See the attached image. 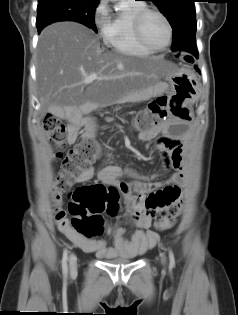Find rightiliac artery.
<instances>
[{"instance_id":"obj_1","label":"right iliac artery","mask_w":238,"mask_h":315,"mask_svg":"<svg viewBox=\"0 0 238 315\" xmlns=\"http://www.w3.org/2000/svg\"><path fill=\"white\" fill-rule=\"evenodd\" d=\"M67 260H68V250L65 249L63 252V257H62V271H63L64 278L67 277V273H68Z\"/></svg>"}]
</instances>
